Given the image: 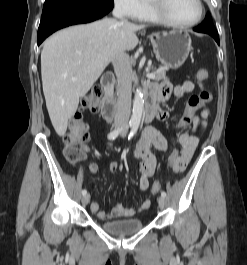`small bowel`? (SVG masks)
Returning <instances> with one entry per match:
<instances>
[{"label": "small bowel", "instance_id": "small-bowel-1", "mask_svg": "<svg viewBox=\"0 0 247 265\" xmlns=\"http://www.w3.org/2000/svg\"><path fill=\"white\" fill-rule=\"evenodd\" d=\"M148 87L156 92L155 116L161 121H165L169 117L168 112L163 109L161 103L168 101L172 96L181 97L192 93L194 90V84L191 81H184L176 86H173L169 82H162L160 84H150ZM208 116L209 111L204 107L201 113L195 117L191 131L183 133L179 137V143L182 149L179 152L178 160L174 166L175 172L182 173L187 167L197 147L199 137L207 125ZM152 146L165 153L168 150V141L160 131L153 127H147L143 130L137 143L136 150L133 153L134 158L140 161L138 187L142 191L149 190L150 178L154 175L157 166V160L151 152ZM109 170L111 172H116L118 170V164L114 161L110 162ZM89 171L92 174H96L98 171L97 164L90 163ZM149 206L150 201L146 199L138 209L127 208L118 203L111 211L106 212L100 210L99 204L96 202L91 204L90 209L96 214L99 220L106 221L114 218L132 217L136 215L137 212L148 209Z\"/></svg>", "mask_w": 247, "mask_h": 265}]
</instances>
